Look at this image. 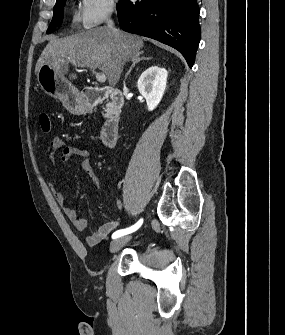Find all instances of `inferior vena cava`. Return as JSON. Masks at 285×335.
I'll return each mask as SVG.
<instances>
[{"instance_id": "602c4592", "label": "inferior vena cava", "mask_w": 285, "mask_h": 335, "mask_svg": "<svg viewBox=\"0 0 285 335\" xmlns=\"http://www.w3.org/2000/svg\"><path fill=\"white\" fill-rule=\"evenodd\" d=\"M114 8H115V4H114L113 0H110V2H108V6H107V18H106L105 22L107 24V28H110V30H112V32H118V30H116V28H115V24H114L113 20H111V14H112V12H114Z\"/></svg>"}]
</instances>
